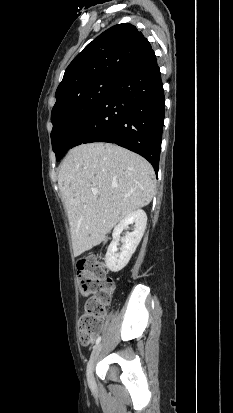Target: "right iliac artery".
<instances>
[{
	"label": "right iliac artery",
	"instance_id": "obj_1",
	"mask_svg": "<svg viewBox=\"0 0 233 413\" xmlns=\"http://www.w3.org/2000/svg\"><path fill=\"white\" fill-rule=\"evenodd\" d=\"M100 341H101V337H98L97 340H96V345H98L100 343Z\"/></svg>",
	"mask_w": 233,
	"mask_h": 413
}]
</instances>
